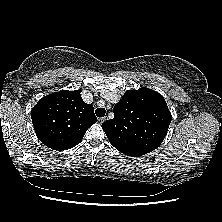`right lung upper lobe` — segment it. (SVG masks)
Returning a JSON list of instances; mask_svg holds the SVG:
<instances>
[{"label":"right lung upper lobe","instance_id":"cb5924a9","mask_svg":"<svg viewBox=\"0 0 222 222\" xmlns=\"http://www.w3.org/2000/svg\"><path fill=\"white\" fill-rule=\"evenodd\" d=\"M81 90H61L40 99L31 111L38 139L53 150L78 145L88 128L97 122L94 108L81 98Z\"/></svg>","mask_w":222,"mask_h":222}]
</instances>
